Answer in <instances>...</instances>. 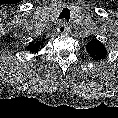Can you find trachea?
Here are the masks:
<instances>
[{
  "instance_id": "obj_1",
  "label": "trachea",
  "mask_w": 118,
  "mask_h": 118,
  "mask_svg": "<svg viewBox=\"0 0 118 118\" xmlns=\"http://www.w3.org/2000/svg\"><path fill=\"white\" fill-rule=\"evenodd\" d=\"M70 18V10L68 8H64L59 15V19L65 20V23L69 21Z\"/></svg>"
}]
</instances>
